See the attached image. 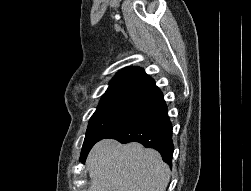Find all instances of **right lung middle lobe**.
Segmentation results:
<instances>
[{
  "instance_id": "dd1d6c3e",
  "label": "right lung middle lobe",
  "mask_w": 251,
  "mask_h": 191,
  "mask_svg": "<svg viewBox=\"0 0 251 191\" xmlns=\"http://www.w3.org/2000/svg\"><path fill=\"white\" fill-rule=\"evenodd\" d=\"M141 111L138 108L119 105L97 107V110L89 120L80 161L85 162L89 151L96 142L108 138Z\"/></svg>"
}]
</instances>
